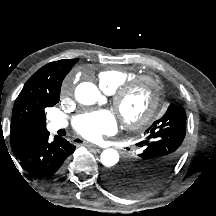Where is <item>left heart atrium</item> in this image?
<instances>
[{
  "label": "left heart atrium",
  "instance_id": "39dd6f15",
  "mask_svg": "<svg viewBox=\"0 0 216 216\" xmlns=\"http://www.w3.org/2000/svg\"><path fill=\"white\" fill-rule=\"evenodd\" d=\"M73 127L83 137L97 140L102 135L115 132L117 121L111 111L96 110L77 115L73 119Z\"/></svg>",
  "mask_w": 216,
  "mask_h": 216
}]
</instances>
